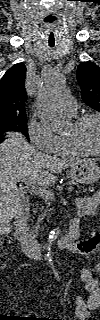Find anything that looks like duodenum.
<instances>
[{"label":"duodenum","mask_w":100,"mask_h":320,"mask_svg":"<svg viewBox=\"0 0 100 320\" xmlns=\"http://www.w3.org/2000/svg\"><path fill=\"white\" fill-rule=\"evenodd\" d=\"M78 218L71 219L69 231L58 241L59 247H69L77 236ZM14 237L19 242L21 249L30 258H39L48 250L49 244L39 242L28 229V216L21 215L15 221Z\"/></svg>","instance_id":"1"}]
</instances>
